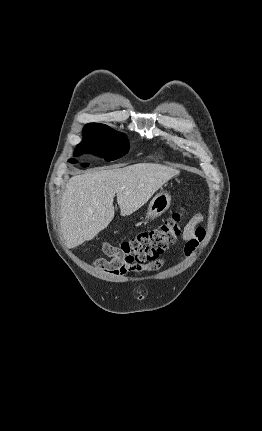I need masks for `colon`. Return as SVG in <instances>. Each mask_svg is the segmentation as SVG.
Segmentation results:
<instances>
[{"instance_id": "1", "label": "colon", "mask_w": 262, "mask_h": 431, "mask_svg": "<svg viewBox=\"0 0 262 431\" xmlns=\"http://www.w3.org/2000/svg\"><path fill=\"white\" fill-rule=\"evenodd\" d=\"M182 213L176 212L160 227L139 233L119 244L104 242L103 252L121 264L134 265L155 261L175 243L182 232Z\"/></svg>"}]
</instances>
